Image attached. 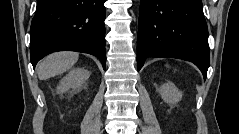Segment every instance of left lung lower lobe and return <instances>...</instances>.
I'll return each instance as SVG.
<instances>
[{
	"label": "left lung lower lobe",
	"mask_w": 239,
	"mask_h": 134,
	"mask_svg": "<svg viewBox=\"0 0 239 134\" xmlns=\"http://www.w3.org/2000/svg\"><path fill=\"white\" fill-rule=\"evenodd\" d=\"M147 57L191 61L206 78L210 53L201 0H141L137 38L138 70Z\"/></svg>",
	"instance_id": "obj_1"
}]
</instances>
